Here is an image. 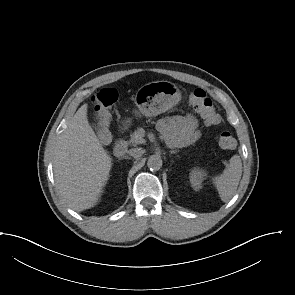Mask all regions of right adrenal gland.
<instances>
[{
	"label": "right adrenal gland",
	"instance_id": "2a0ac1e0",
	"mask_svg": "<svg viewBox=\"0 0 295 295\" xmlns=\"http://www.w3.org/2000/svg\"><path fill=\"white\" fill-rule=\"evenodd\" d=\"M123 159H127V157H123Z\"/></svg>",
	"mask_w": 295,
	"mask_h": 295
}]
</instances>
